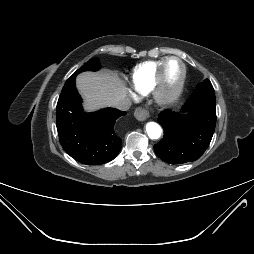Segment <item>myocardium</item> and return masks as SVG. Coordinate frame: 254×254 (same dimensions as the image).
<instances>
[{
    "mask_svg": "<svg viewBox=\"0 0 254 254\" xmlns=\"http://www.w3.org/2000/svg\"><path fill=\"white\" fill-rule=\"evenodd\" d=\"M171 61L179 62L181 66V75L178 82L173 87L169 88L165 83V71L167 65ZM186 76H187L186 65L179 57L171 56L166 58L157 71L154 85L151 89V94L154 101L159 106L162 107L171 106L174 103H176L184 90Z\"/></svg>",
    "mask_w": 254,
    "mask_h": 254,
    "instance_id": "f54148a6",
    "label": "myocardium"
}]
</instances>
